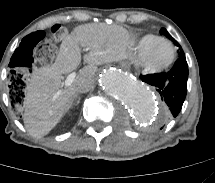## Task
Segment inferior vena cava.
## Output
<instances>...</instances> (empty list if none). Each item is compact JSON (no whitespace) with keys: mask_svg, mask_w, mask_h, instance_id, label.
<instances>
[{"mask_svg":"<svg viewBox=\"0 0 215 183\" xmlns=\"http://www.w3.org/2000/svg\"><path fill=\"white\" fill-rule=\"evenodd\" d=\"M94 87V82L89 80H84L78 83L76 90L78 93H86L92 90Z\"/></svg>","mask_w":215,"mask_h":183,"instance_id":"602c4592","label":"inferior vena cava"}]
</instances>
